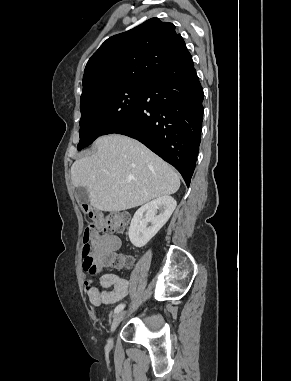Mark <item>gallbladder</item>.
<instances>
[{
	"label": "gallbladder",
	"mask_w": 291,
	"mask_h": 381,
	"mask_svg": "<svg viewBox=\"0 0 291 381\" xmlns=\"http://www.w3.org/2000/svg\"><path fill=\"white\" fill-rule=\"evenodd\" d=\"M75 195L80 204L89 203V193L86 187H77L75 189Z\"/></svg>",
	"instance_id": "gallbladder-1"
}]
</instances>
